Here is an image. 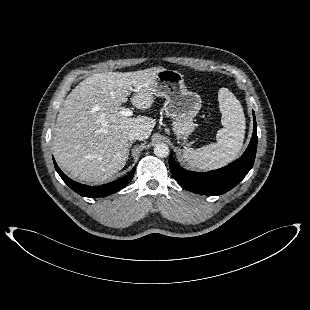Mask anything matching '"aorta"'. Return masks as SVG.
<instances>
[{
	"instance_id": "1",
	"label": "aorta",
	"mask_w": 310,
	"mask_h": 310,
	"mask_svg": "<svg viewBox=\"0 0 310 310\" xmlns=\"http://www.w3.org/2000/svg\"><path fill=\"white\" fill-rule=\"evenodd\" d=\"M154 154L159 158H165L169 155V147L164 143H159L154 146Z\"/></svg>"
}]
</instances>
